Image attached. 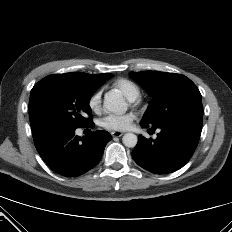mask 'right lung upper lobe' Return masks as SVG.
<instances>
[{
	"mask_svg": "<svg viewBox=\"0 0 232 232\" xmlns=\"http://www.w3.org/2000/svg\"><path fill=\"white\" fill-rule=\"evenodd\" d=\"M84 74H86V73H84ZM106 74L107 73H104V74H98V75H91V74H86L88 77H90L91 79H93L94 81H97V82H101V81H103V82H105V80H106Z\"/></svg>",
	"mask_w": 232,
	"mask_h": 232,
	"instance_id": "cb5924a9",
	"label": "right lung upper lobe"
}]
</instances>
